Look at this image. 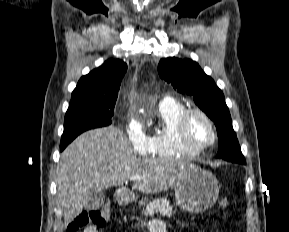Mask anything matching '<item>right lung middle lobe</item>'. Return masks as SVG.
<instances>
[{"label":"right lung middle lobe","mask_w":289,"mask_h":232,"mask_svg":"<svg viewBox=\"0 0 289 232\" xmlns=\"http://www.w3.org/2000/svg\"><path fill=\"white\" fill-rule=\"evenodd\" d=\"M117 96L71 99L65 115L60 148H65L82 132L111 124Z\"/></svg>","instance_id":"1"}]
</instances>
